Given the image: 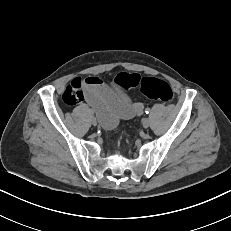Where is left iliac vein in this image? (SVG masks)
Instances as JSON below:
<instances>
[{"label": "left iliac vein", "mask_w": 231, "mask_h": 231, "mask_svg": "<svg viewBox=\"0 0 231 231\" xmlns=\"http://www.w3.org/2000/svg\"><path fill=\"white\" fill-rule=\"evenodd\" d=\"M142 125H143L144 128H148L149 125H150V120H149V118H144V119L142 120Z\"/></svg>", "instance_id": "1"}]
</instances>
